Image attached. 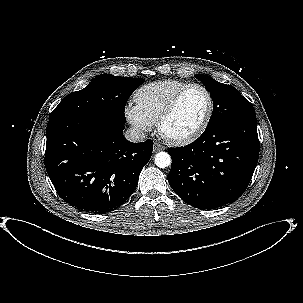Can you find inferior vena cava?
<instances>
[{
  "mask_svg": "<svg viewBox=\"0 0 303 303\" xmlns=\"http://www.w3.org/2000/svg\"><path fill=\"white\" fill-rule=\"evenodd\" d=\"M125 137L130 142H143L146 139L145 133L136 128H130L125 132Z\"/></svg>",
  "mask_w": 303,
  "mask_h": 303,
  "instance_id": "1",
  "label": "inferior vena cava"
}]
</instances>
